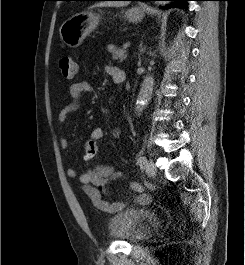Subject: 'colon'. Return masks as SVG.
I'll return each mask as SVG.
<instances>
[{
  "mask_svg": "<svg viewBox=\"0 0 245 265\" xmlns=\"http://www.w3.org/2000/svg\"><path fill=\"white\" fill-rule=\"evenodd\" d=\"M59 68L61 74L66 79H72L77 73V65L75 61L69 56H63L59 60ZM98 154V145L95 142H86L84 146V161L86 164H90Z\"/></svg>",
  "mask_w": 245,
  "mask_h": 265,
  "instance_id": "1",
  "label": "colon"
}]
</instances>
